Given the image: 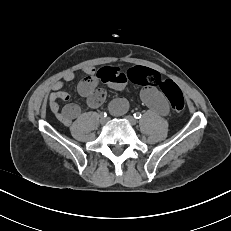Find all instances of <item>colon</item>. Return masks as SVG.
Returning a JSON list of instances; mask_svg holds the SVG:
<instances>
[{
    "instance_id": "obj_1",
    "label": "colon",
    "mask_w": 231,
    "mask_h": 231,
    "mask_svg": "<svg viewBox=\"0 0 231 231\" xmlns=\"http://www.w3.org/2000/svg\"><path fill=\"white\" fill-rule=\"evenodd\" d=\"M127 78L138 85L159 86L173 111L179 113L184 110L185 100L179 87L172 80L162 79L158 72L144 67H134L127 72Z\"/></svg>"
}]
</instances>
